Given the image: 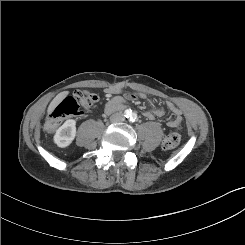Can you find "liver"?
Masks as SVG:
<instances>
[{
  "mask_svg": "<svg viewBox=\"0 0 245 245\" xmlns=\"http://www.w3.org/2000/svg\"><path fill=\"white\" fill-rule=\"evenodd\" d=\"M69 94L68 91H63L60 92L59 94L56 95V97L51 101V103L48 106L47 112L48 114L51 113L57 105Z\"/></svg>",
  "mask_w": 245,
  "mask_h": 245,
  "instance_id": "obj_1",
  "label": "liver"
}]
</instances>
